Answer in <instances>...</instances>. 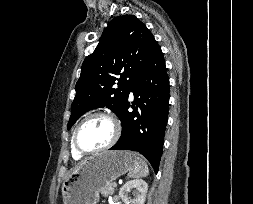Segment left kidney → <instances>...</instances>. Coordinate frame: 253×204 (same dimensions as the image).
Returning <instances> with one entry per match:
<instances>
[{
  "label": "left kidney",
  "instance_id": "5707ae66",
  "mask_svg": "<svg viewBox=\"0 0 253 204\" xmlns=\"http://www.w3.org/2000/svg\"><path fill=\"white\" fill-rule=\"evenodd\" d=\"M147 191L148 185L144 180L134 179L120 188L119 196L125 204H144Z\"/></svg>",
  "mask_w": 253,
  "mask_h": 204
}]
</instances>
